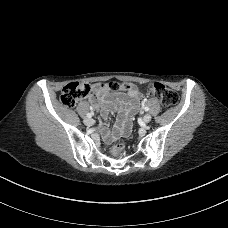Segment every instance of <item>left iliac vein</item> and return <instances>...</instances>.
<instances>
[{
  "instance_id": "4c4485c4",
  "label": "left iliac vein",
  "mask_w": 228,
  "mask_h": 228,
  "mask_svg": "<svg viewBox=\"0 0 228 228\" xmlns=\"http://www.w3.org/2000/svg\"><path fill=\"white\" fill-rule=\"evenodd\" d=\"M152 119V116L150 114H146L144 117H143V121L144 123H149Z\"/></svg>"
}]
</instances>
